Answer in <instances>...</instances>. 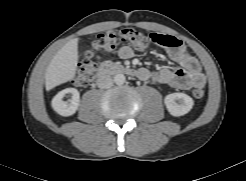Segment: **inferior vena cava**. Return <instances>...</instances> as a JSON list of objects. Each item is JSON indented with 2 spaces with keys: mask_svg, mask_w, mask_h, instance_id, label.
I'll return each instance as SVG.
<instances>
[{
  "mask_svg": "<svg viewBox=\"0 0 246 181\" xmlns=\"http://www.w3.org/2000/svg\"><path fill=\"white\" fill-rule=\"evenodd\" d=\"M97 85L101 89L110 88L113 85V79L109 75H101L97 79Z\"/></svg>",
  "mask_w": 246,
  "mask_h": 181,
  "instance_id": "602c4592",
  "label": "inferior vena cava"
}]
</instances>
